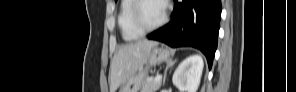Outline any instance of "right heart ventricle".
<instances>
[{
    "label": "right heart ventricle",
    "mask_w": 296,
    "mask_h": 92,
    "mask_svg": "<svg viewBox=\"0 0 296 92\" xmlns=\"http://www.w3.org/2000/svg\"><path fill=\"white\" fill-rule=\"evenodd\" d=\"M134 0L121 1L118 13V26L124 40L132 41L140 38L143 33L137 30L131 22V11Z\"/></svg>",
    "instance_id": "1"
}]
</instances>
